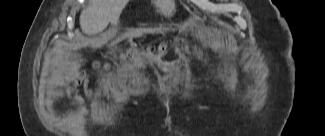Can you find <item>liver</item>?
Returning <instances> with one entry per match:
<instances>
[{
  "mask_svg": "<svg viewBox=\"0 0 325 136\" xmlns=\"http://www.w3.org/2000/svg\"><path fill=\"white\" fill-rule=\"evenodd\" d=\"M128 0H91L80 15V26L87 35L102 32L109 23L117 25L120 14ZM157 12L171 17L176 11L174 0H155Z\"/></svg>",
  "mask_w": 325,
  "mask_h": 136,
  "instance_id": "1",
  "label": "liver"
}]
</instances>
